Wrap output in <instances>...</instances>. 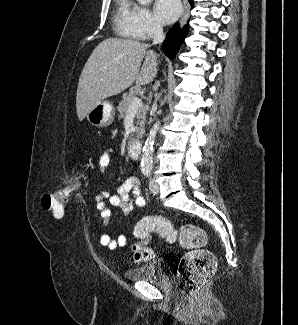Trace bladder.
<instances>
[{"mask_svg": "<svg viewBox=\"0 0 298 325\" xmlns=\"http://www.w3.org/2000/svg\"><path fill=\"white\" fill-rule=\"evenodd\" d=\"M124 277L133 282H148L165 290L173 288L171 278L166 274L159 261H151L128 269L125 271Z\"/></svg>", "mask_w": 298, "mask_h": 325, "instance_id": "1", "label": "bladder"}]
</instances>
